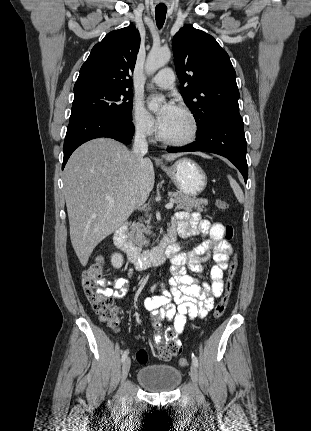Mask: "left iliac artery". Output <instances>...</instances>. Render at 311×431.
Returning a JSON list of instances; mask_svg holds the SVG:
<instances>
[{
	"label": "left iliac artery",
	"instance_id": "44dca946",
	"mask_svg": "<svg viewBox=\"0 0 311 431\" xmlns=\"http://www.w3.org/2000/svg\"><path fill=\"white\" fill-rule=\"evenodd\" d=\"M192 362L196 367H198V365H199L198 359L193 353H192Z\"/></svg>",
	"mask_w": 311,
	"mask_h": 431
}]
</instances>
